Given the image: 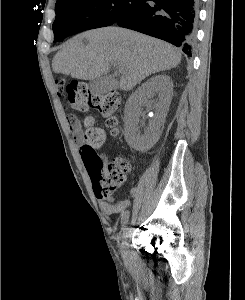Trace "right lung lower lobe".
I'll use <instances>...</instances> for the list:
<instances>
[{
  "label": "right lung lower lobe",
  "mask_w": 245,
  "mask_h": 300,
  "mask_svg": "<svg viewBox=\"0 0 245 300\" xmlns=\"http://www.w3.org/2000/svg\"><path fill=\"white\" fill-rule=\"evenodd\" d=\"M198 0H146L115 24L165 40L191 56ZM63 25L62 22L59 23Z\"/></svg>",
  "instance_id": "right-lung-lower-lobe-1"
}]
</instances>
